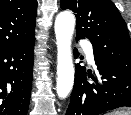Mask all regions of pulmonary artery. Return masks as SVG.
I'll use <instances>...</instances> for the list:
<instances>
[{
  "instance_id": "pulmonary-artery-1",
  "label": "pulmonary artery",
  "mask_w": 131,
  "mask_h": 115,
  "mask_svg": "<svg viewBox=\"0 0 131 115\" xmlns=\"http://www.w3.org/2000/svg\"><path fill=\"white\" fill-rule=\"evenodd\" d=\"M83 49L86 53L87 56V60L91 63L94 64V53H93V49L92 46L89 44L84 43L83 44Z\"/></svg>"
}]
</instances>
